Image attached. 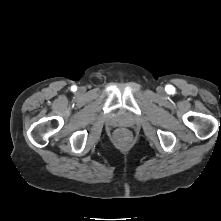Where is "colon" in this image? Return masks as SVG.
<instances>
[{
	"label": "colon",
	"mask_w": 221,
	"mask_h": 221,
	"mask_svg": "<svg viewBox=\"0 0 221 221\" xmlns=\"http://www.w3.org/2000/svg\"><path fill=\"white\" fill-rule=\"evenodd\" d=\"M129 138V132L126 129H120L116 132V140L119 143H126Z\"/></svg>",
	"instance_id": "5ec220e1"
}]
</instances>
